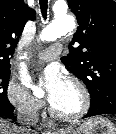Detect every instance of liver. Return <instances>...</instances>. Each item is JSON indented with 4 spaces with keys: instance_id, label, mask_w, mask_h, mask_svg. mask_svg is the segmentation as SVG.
Returning <instances> with one entry per match:
<instances>
[{
    "instance_id": "obj_1",
    "label": "liver",
    "mask_w": 116,
    "mask_h": 134,
    "mask_svg": "<svg viewBox=\"0 0 116 134\" xmlns=\"http://www.w3.org/2000/svg\"><path fill=\"white\" fill-rule=\"evenodd\" d=\"M0 134H20L16 126L0 120Z\"/></svg>"
}]
</instances>
